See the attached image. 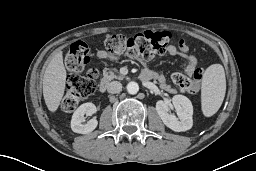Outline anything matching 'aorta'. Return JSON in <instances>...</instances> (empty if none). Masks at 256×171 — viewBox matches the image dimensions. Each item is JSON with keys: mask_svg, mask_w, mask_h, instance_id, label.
Wrapping results in <instances>:
<instances>
[{"mask_svg": "<svg viewBox=\"0 0 256 171\" xmlns=\"http://www.w3.org/2000/svg\"><path fill=\"white\" fill-rule=\"evenodd\" d=\"M127 91L129 94L134 95L139 91V85L136 82H129L127 84Z\"/></svg>", "mask_w": 256, "mask_h": 171, "instance_id": "1", "label": "aorta"}]
</instances>
